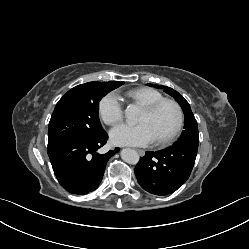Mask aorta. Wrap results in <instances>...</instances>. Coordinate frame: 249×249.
<instances>
[{
	"label": "aorta",
	"mask_w": 249,
	"mask_h": 249,
	"mask_svg": "<svg viewBox=\"0 0 249 249\" xmlns=\"http://www.w3.org/2000/svg\"><path fill=\"white\" fill-rule=\"evenodd\" d=\"M137 114V108L134 105H129L125 110L127 119H134ZM121 158L128 164H137L139 161V154L134 149L126 148L121 151Z\"/></svg>",
	"instance_id": "aorta-1"
}]
</instances>
